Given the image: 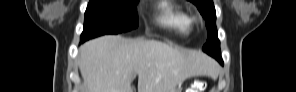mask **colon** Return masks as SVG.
<instances>
[{"label": "colon", "mask_w": 296, "mask_h": 92, "mask_svg": "<svg viewBox=\"0 0 296 92\" xmlns=\"http://www.w3.org/2000/svg\"><path fill=\"white\" fill-rule=\"evenodd\" d=\"M203 88V82L200 79H197L192 82L190 92H198Z\"/></svg>", "instance_id": "1"}]
</instances>
